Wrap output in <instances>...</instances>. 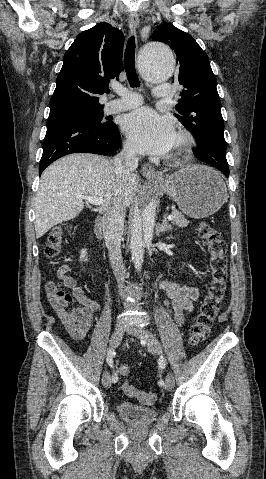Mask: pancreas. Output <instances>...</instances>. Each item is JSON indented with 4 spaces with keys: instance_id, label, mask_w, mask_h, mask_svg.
Wrapping results in <instances>:
<instances>
[{
    "instance_id": "cf45deb5",
    "label": "pancreas",
    "mask_w": 266,
    "mask_h": 479,
    "mask_svg": "<svg viewBox=\"0 0 266 479\" xmlns=\"http://www.w3.org/2000/svg\"><path fill=\"white\" fill-rule=\"evenodd\" d=\"M172 215L174 216V219L172 220V223L181 227L185 228L188 226L189 221L182 215L181 212L178 210H172Z\"/></svg>"
}]
</instances>
